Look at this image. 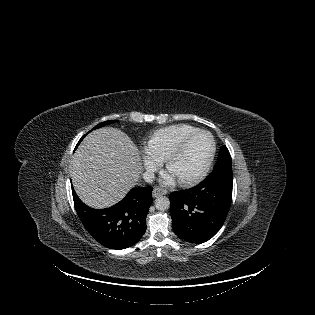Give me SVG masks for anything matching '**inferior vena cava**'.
<instances>
[{
    "label": "inferior vena cava",
    "instance_id": "1",
    "mask_svg": "<svg viewBox=\"0 0 315 315\" xmlns=\"http://www.w3.org/2000/svg\"><path fill=\"white\" fill-rule=\"evenodd\" d=\"M154 173L152 172H144L143 173V179L144 181H146L147 183H152L154 181Z\"/></svg>",
    "mask_w": 315,
    "mask_h": 315
}]
</instances>
